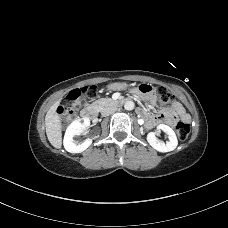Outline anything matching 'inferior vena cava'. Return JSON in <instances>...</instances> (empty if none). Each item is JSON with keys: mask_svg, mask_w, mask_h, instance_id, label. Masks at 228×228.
Segmentation results:
<instances>
[{"mask_svg": "<svg viewBox=\"0 0 228 228\" xmlns=\"http://www.w3.org/2000/svg\"><path fill=\"white\" fill-rule=\"evenodd\" d=\"M116 111V107H107L102 111V116H108Z\"/></svg>", "mask_w": 228, "mask_h": 228, "instance_id": "1", "label": "inferior vena cava"}]
</instances>
